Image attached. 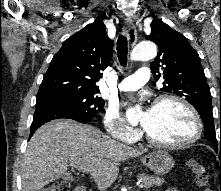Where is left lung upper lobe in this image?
<instances>
[{"label": "left lung upper lobe", "mask_w": 221, "mask_h": 191, "mask_svg": "<svg viewBox=\"0 0 221 191\" xmlns=\"http://www.w3.org/2000/svg\"><path fill=\"white\" fill-rule=\"evenodd\" d=\"M146 39L159 47L150 68L156 81L160 77L164 79L161 90L184 97L196 108L204 122V135L217 151L211 93L198 53L181 33L156 17H153L151 34Z\"/></svg>", "instance_id": "obj_1"}]
</instances>
